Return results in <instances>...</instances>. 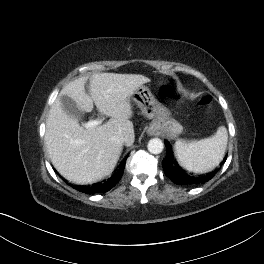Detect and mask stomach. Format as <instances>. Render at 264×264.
Segmentation results:
<instances>
[{
	"label": "stomach",
	"instance_id": "1",
	"mask_svg": "<svg viewBox=\"0 0 264 264\" xmlns=\"http://www.w3.org/2000/svg\"><path fill=\"white\" fill-rule=\"evenodd\" d=\"M132 99L144 116L153 119L148 130L149 133L159 132L173 139L183 132V126L170 117V111L157 101L148 87L140 86L133 93Z\"/></svg>",
	"mask_w": 264,
	"mask_h": 264
}]
</instances>
